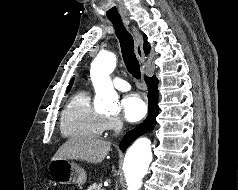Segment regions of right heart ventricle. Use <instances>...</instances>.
Masks as SVG:
<instances>
[{
    "label": "right heart ventricle",
    "mask_w": 238,
    "mask_h": 190,
    "mask_svg": "<svg viewBox=\"0 0 238 190\" xmlns=\"http://www.w3.org/2000/svg\"><path fill=\"white\" fill-rule=\"evenodd\" d=\"M107 117L98 113L91 105L86 91L76 92L61 115V131L68 137L96 138L106 128Z\"/></svg>",
    "instance_id": "1"
}]
</instances>
